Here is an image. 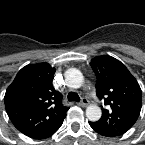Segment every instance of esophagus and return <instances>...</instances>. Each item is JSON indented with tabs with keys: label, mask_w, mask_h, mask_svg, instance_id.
<instances>
[{
	"label": "esophagus",
	"mask_w": 145,
	"mask_h": 145,
	"mask_svg": "<svg viewBox=\"0 0 145 145\" xmlns=\"http://www.w3.org/2000/svg\"><path fill=\"white\" fill-rule=\"evenodd\" d=\"M78 105L82 106V107H86L88 105V100L83 98Z\"/></svg>",
	"instance_id": "1"
}]
</instances>
